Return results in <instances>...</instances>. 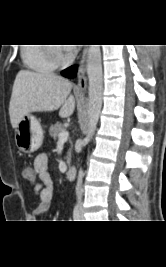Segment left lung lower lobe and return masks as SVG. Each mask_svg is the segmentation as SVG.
<instances>
[{
    "label": "left lung lower lobe",
    "mask_w": 166,
    "mask_h": 267,
    "mask_svg": "<svg viewBox=\"0 0 166 267\" xmlns=\"http://www.w3.org/2000/svg\"><path fill=\"white\" fill-rule=\"evenodd\" d=\"M76 72H77V66H72L62 71V75L65 77L72 78L75 77Z\"/></svg>",
    "instance_id": "left-lung-lower-lobe-1"
}]
</instances>
